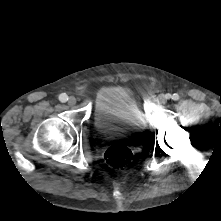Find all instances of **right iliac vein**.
I'll use <instances>...</instances> for the list:
<instances>
[{
  "mask_svg": "<svg viewBox=\"0 0 221 221\" xmlns=\"http://www.w3.org/2000/svg\"><path fill=\"white\" fill-rule=\"evenodd\" d=\"M68 103H69V105H74V104H76V98L73 97V96L69 97Z\"/></svg>",
  "mask_w": 221,
  "mask_h": 221,
  "instance_id": "obj_1",
  "label": "right iliac vein"
}]
</instances>
